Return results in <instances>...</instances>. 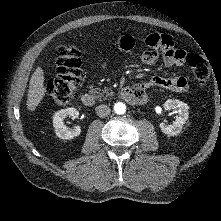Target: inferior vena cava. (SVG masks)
I'll return each mask as SVG.
<instances>
[{
    "mask_svg": "<svg viewBox=\"0 0 221 221\" xmlns=\"http://www.w3.org/2000/svg\"><path fill=\"white\" fill-rule=\"evenodd\" d=\"M95 110L96 114L101 118L107 117L111 112V109L107 105H99Z\"/></svg>",
    "mask_w": 221,
    "mask_h": 221,
    "instance_id": "1",
    "label": "inferior vena cava"
}]
</instances>
